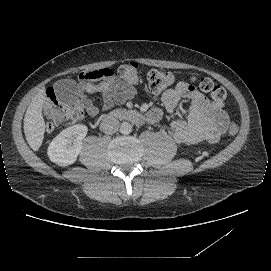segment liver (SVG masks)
<instances>
[{
  "label": "liver",
  "instance_id": "6515ba94",
  "mask_svg": "<svg viewBox=\"0 0 271 271\" xmlns=\"http://www.w3.org/2000/svg\"><path fill=\"white\" fill-rule=\"evenodd\" d=\"M45 88H41L39 93L30 102L24 117V133L30 147L37 151L44 136L45 125L41 113L44 103Z\"/></svg>",
  "mask_w": 271,
  "mask_h": 271
}]
</instances>
